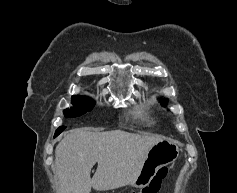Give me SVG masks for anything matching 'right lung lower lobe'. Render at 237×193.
Instances as JSON below:
<instances>
[{"mask_svg":"<svg viewBox=\"0 0 237 193\" xmlns=\"http://www.w3.org/2000/svg\"><path fill=\"white\" fill-rule=\"evenodd\" d=\"M64 129H65L64 126L59 127V128L56 130L54 137H56L57 135H59Z\"/></svg>","mask_w":237,"mask_h":193,"instance_id":"1","label":"right lung lower lobe"}]
</instances>
